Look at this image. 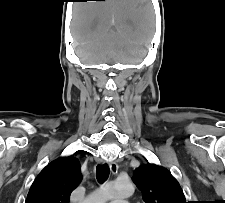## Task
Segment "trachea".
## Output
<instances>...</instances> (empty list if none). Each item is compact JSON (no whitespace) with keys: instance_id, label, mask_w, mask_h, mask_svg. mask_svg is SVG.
Wrapping results in <instances>:
<instances>
[{"instance_id":"trachea-1","label":"trachea","mask_w":225,"mask_h":203,"mask_svg":"<svg viewBox=\"0 0 225 203\" xmlns=\"http://www.w3.org/2000/svg\"><path fill=\"white\" fill-rule=\"evenodd\" d=\"M109 174H110V169L107 164L98 165L96 167V177L100 183L105 182L108 179Z\"/></svg>"}]
</instances>
